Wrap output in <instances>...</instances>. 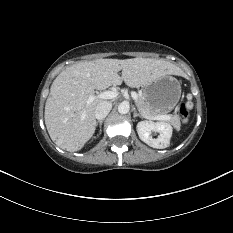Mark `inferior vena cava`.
<instances>
[{"label": "inferior vena cava", "mask_w": 233, "mask_h": 233, "mask_svg": "<svg viewBox=\"0 0 233 233\" xmlns=\"http://www.w3.org/2000/svg\"><path fill=\"white\" fill-rule=\"evenodd\" d=\"M112 109V103L109 101H101L97 104L95 108V118L98 120H103L110 110Z\"/></svg>", "instance_id": "inferior-vena-cava-1"}]
</instances>
